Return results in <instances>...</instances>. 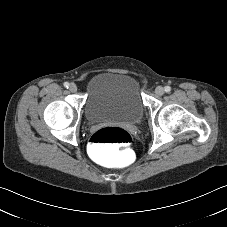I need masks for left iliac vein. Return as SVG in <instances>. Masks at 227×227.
<instances>
[{"label":"left iliac vein","instance_id":"1","mask_svg":"<svg viewBox=\"0 0 227 227\" xmlns=\"http://www.w3.org/2000/svg\"><path fill=\"white\" fill-rule=\"evenodd\" d=\"M155 92H156L157 95L161 96V95L164 94V88L161 87V86H158V87L156 88Z\"/></svg>","mask_w":227,"mask_h":227}]
</instances>
